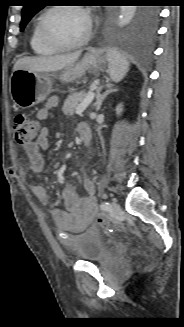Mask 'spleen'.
I'll return each mask as SVG.
<instances>
[{
    "label": "spleen",
    "mask_w": 184,
    "mask_h": 327,
    "mask_svg": "<svg viewBox=\"0 0 184 327\" xmlns=\"http://www.w3.org/2000/svg\"><path fill=\"white\" fill-rule=\"evenodd\" d=\"M108 72L112 81L119 82L129 70L126 58L116 50L107 52Z\"/></svg>",
    "instance_id": "spleen-1"
}]
</instances>
